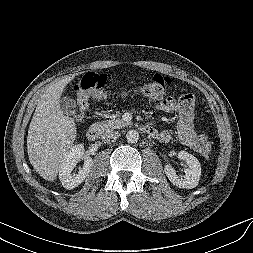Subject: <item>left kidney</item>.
<instances>
[{
  "label": "left kidney",
  "mask_w": 253,
  "mask_h": 253,
  "mask_svg": "<svg viewBox=\"0 0 253 253\" xmlns=\"http://www.w3.org/2000/svg\"><path fill=\"white\" fill-rule=\"evenodd\" d=\"M178 158L186 161L188 164V168L184 171V177L180 178L170 164L165 165L166 176L179 188L192 189L196 187L201 176V165L198 159L186 151H180L178 153Z\"/></svg>",
  "instance_id": "1"
}]
</instances>
